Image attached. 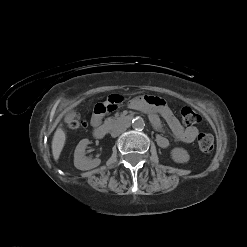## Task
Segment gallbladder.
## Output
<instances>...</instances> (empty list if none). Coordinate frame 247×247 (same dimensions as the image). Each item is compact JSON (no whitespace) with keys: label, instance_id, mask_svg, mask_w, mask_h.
Here are the masks:
<instances>
[{"label":"gallbladder","instance_id":"1","mask_svg":"<svg viewBox=\"0 0 247 247\" xmlns=\"http://www.w3.org/2000/svg\"><path fill=\"white\" fill-rule=\"evenodd\" d=\"M73 117H74L73 112L68 113V114L66 115V117H65V120H66V121H70V120H72V119H73Z\"/></svg>","mask_w":247,"mask_h":247}]
</instances>
